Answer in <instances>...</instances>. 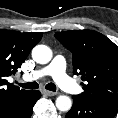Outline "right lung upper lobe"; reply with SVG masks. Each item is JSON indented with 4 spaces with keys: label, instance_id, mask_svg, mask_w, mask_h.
Segmentation results:
<instances>
[{
    "label": "right lung upper lobe",
    "instance_id": "obj_1",
    "mask_svg": "<svg viewBox=\"0 0 118 118\" xmlns=\"http://www.w3.org/2000/svg\"><path fill=\"white\" fill-rule=\"evenodd\" d=\"M41 38V32L21 33L0 29V118L9 116L33 96L34 91L19 89L6 77L15 74Z\"/></svg>",
    "mask_w": 118,
    "mask_h": 118
}]
</instances>
